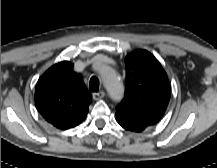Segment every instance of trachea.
I'll use <instances>...</instances> for the list:
<instances>
[{"label": "trachea", "mask_w": 217, "mask_h": 168, "mask_svg": "<svg viewBox=\"0 0 217 168\" xmlns=\"http://www.w3.org/2000/svg\"><path fill=\"white\" fill-rule=\"evenodd\" d=\"M89 88H90V91H92V92H98V90H99V81H98V79L96 77H92L90 79Z\"/></svg>", "instance_id": "1"}]
</instances>
